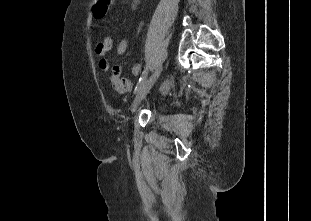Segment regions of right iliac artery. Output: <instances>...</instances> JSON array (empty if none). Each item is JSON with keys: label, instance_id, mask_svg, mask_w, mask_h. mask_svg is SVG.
Wrapping results in <instances>:
<instances>
[{"label": "right iliac artery", "instance_id": "82829eb1", "mask_svg": "<svg viewBox=\"0 0 311 221\" xmlns=\"http://www.w3.org/2000/svg\"><path fill=\"white\" fill-rule=\"evenodd\" d=\"M147 74H148V69L146 67L145 70H143L142 75L134 89V93H136L139 90V88L142 86V84L145 82Z\"/></svg>", "mask_w": 311, "mask_h": 221}]
</instances>
